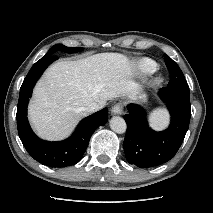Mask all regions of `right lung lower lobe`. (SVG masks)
<instances>
[{"mask_svg":"<svg viewBox=\"0 0 213 213\" xmlns=\"http://www.w3.org/2000/svg\"><path fill=\"white\" fill-rule=\"evenodd\" d=\"M58 59L54 55L43 56L37 61L20 88L17 105L19 137L27 152L38 162L49 167H66L78 163L87 149L93 131L107 122L108 109L104 108L83 119L71 137L60 142H49L37 137L27 120V104L32 88L49 64Z\"/></svg>","mask_w":213,"mask_h":213,"instance_id":"1","label":"right lung lower lobe"}]
</instances>
